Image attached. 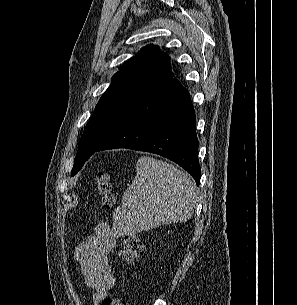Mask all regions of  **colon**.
Instances as JSON below:
<instances>
[{
	"label": "colon",
	"mask_w": 297,
	"mask_h": 305,
	"mask_svg": "<svg viewBox=\"0 0 297 305\" xmlns=\"http://www.w3.org/2000/svg\"><path fill=\"white\" fill-rule=\"evenodd\" d=\"M96 187L102 204L111 207L114 203L112 185L109 174L105 170H100L96 175ZM144 245L142 240L134 235L126 237L120 250V259L124 262L135 264L143 254ZM101 305H126L125 301L116 296L110 295L103 299Z\"/></svg>",
	"instance_id": "1"
}]
</instances>
